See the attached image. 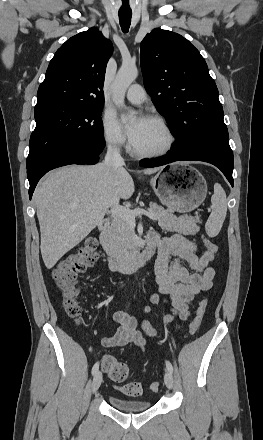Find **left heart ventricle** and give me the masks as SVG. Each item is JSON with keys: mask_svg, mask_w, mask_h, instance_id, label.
<instances>
[{"mask_svg": "<svg viewBox=\"0 0 263 440\" xmlns=\"http://www.w3.org/2000/svg\"><path fill=\"white\" fill-rule=\"evenodd\" d=\"M166 142L165 131L157 123L145 120L133 145L137 150L147 152L162 148Z\"/></svg>", "mask_w": 263, "mask_h": 440, "instance_id": "1", "label": "left heart ventricle"}]
</instances>
